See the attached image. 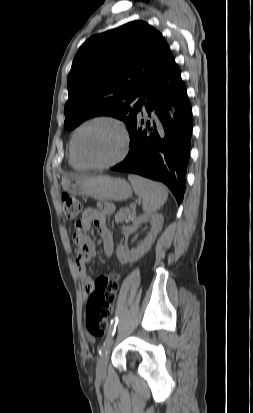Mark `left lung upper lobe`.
Returning <instances> with one entry per match:
<instances>
[{
	"mask_svg": "<svg viewBox=\"0 0 253 413\" xmlns=\"http://www.w3.org/2000/svg\"><path fill=\"white\" fill-rule=\"evenodd\" d=\"M172 58L160 32L143 21L90 37L79 48L68 75L64 128L72 130L91 117L109 115L129 129L146 93Z\"/></svg>",
	"mask_w": 253,
	"mask_h": 413,
	"instance_id": "5c2ea615",
	"label": "left lung upper lobe"
}]
</instances>
